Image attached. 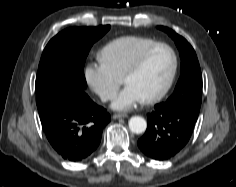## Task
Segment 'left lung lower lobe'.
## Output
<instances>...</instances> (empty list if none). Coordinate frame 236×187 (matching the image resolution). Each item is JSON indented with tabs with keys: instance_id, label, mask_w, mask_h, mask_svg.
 <instances>
[{
	"instance_id": "0a47b994",
	"label": "left lung lower lobe",
	"mask_w": 236,
	"mask_h": 187,
	"mask_svg": "<svg viewBox=\"0 0 236 187\" xmlns=\"http://www.w3.org/2000/svg\"><path fill=\"white\" fill-rule=\"evenodd\" d=\"M147 115V130L138 140V147L149 158L167 160L188 142L199 112L188 107L171 108L155 105Z\"/></svg>"
}]
</instances>
